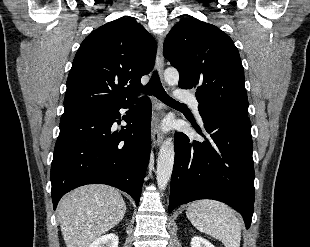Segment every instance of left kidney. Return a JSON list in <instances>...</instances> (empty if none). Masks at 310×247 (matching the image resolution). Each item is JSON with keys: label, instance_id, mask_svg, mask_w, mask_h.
Segmentation results:
<instances>
[{"label": "left kidney", "instance_id": "1", "mask_svg": "<svg viewBox=\"0 0 310 247\" xmlns=\"http://www.w3.org/2000/svg\"><path fill=\"white\" fill-rule=\"evenodd\" d=\"M191 247H215V246L206 239L199 236H195L191 240Z\"/></svg>", "mask_w": 310, "mask_h": 247}]
</instances>
